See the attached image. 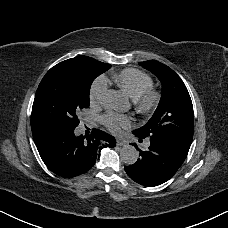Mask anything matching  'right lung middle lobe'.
<instances>
[{
    "mask_svg": "<svg viewBox=\"0 0 228 228\" xmlns=\"http://www.w3.org/2000/svg\"><path fill=\"white\" fill-rule=\"evenodd\" d=\"M111 68L93 58L77 65L57 64L44 76L37 89L31 114L32 129L75 128L77 113L89 107L93 80Z\"/></svg>",
    "mask_w": 228,
    "mask_h": 228,
    "instance_id": "right-lung-middle-lobe-1",
    "label": "right lung middle lobe"
}]
</instances>
